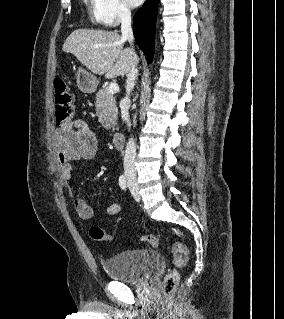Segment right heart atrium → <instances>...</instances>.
Returning <instances> with one entry per match:
<instances>
[{"instance_id":"right-heart-atrium-1","label":"right heart atrium","mask_w":284,"mask_h":319,"mask_svg":"<svg viewBox=\"0 0 284 319\" xmlns=\"http://www.w3.org/2000/svg\"><path fill=\"white\" fill-rule=\"evenodd\" d=\"M98 12L102 24L108 27L117 26L129 19L130 11L122 0H97Z\"/></svg>"}]
</instances>
